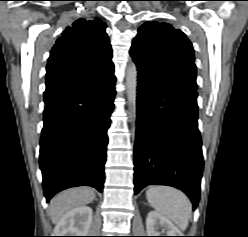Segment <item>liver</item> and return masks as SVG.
<instances>
[{
	"label": "liver",
	"instance_id": "obj_1",
	"mask_svg": "<svg viewBox=\"0 0 248 237\" xmlns=\"http://www.w3.org/2000/svg\"><path fill=\"white\" fill-rule=\"evenodd\" d=\"M95 199L92 188L79 187L57 194L50 202L49 214L52 223L56 224L69 211L91 203Z\"/></svg>",
	"mask_w": 248,
	"mask_h": 237
}]
</instances>
